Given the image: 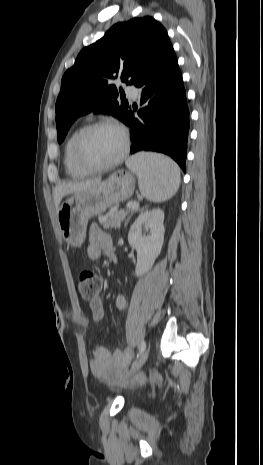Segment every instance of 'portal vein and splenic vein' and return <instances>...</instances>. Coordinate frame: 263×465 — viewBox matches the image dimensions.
<instances>
[{"instance_id":"obj_1","label":"portal vein and splenic vein","mask_w":263,"mask_h":465,"mask_svg":"<svg viewBox=\"0 0 263 465\" xmlns=\"http://www.w3.org/2000/svg\"><path fill=\"white\" fill-rule=\"evenodd\" d=\"M128 209H138L139 208V203L136 202H130L127 204Z\"/></svg>"}]
</instances>
